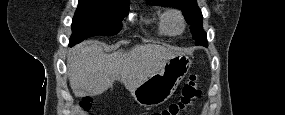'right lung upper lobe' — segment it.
I'll list each match as a JSON object with an SVG mask.
<instances>
[{
  "label": "right lung upper lobe",
  "instance_id": "1",
  "mask_svg": "<svg viewBox=\"0 0 285 115\" xmlns=\"http://www.w3.org/2000/svg\"><path fill=\"white\" fill-rule=\"evenodd\" d=\"M111 1H114V2H129L128 0H111Z\"/></svg>",
  "mask_w": 285,
  "mask_h": 115
}]
</instances>
